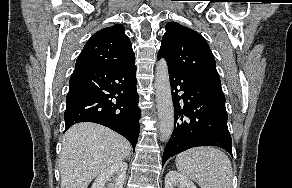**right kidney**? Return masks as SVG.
<instances>
[{"label": "right kidney", "instance_id": "1", "mask_svg": "<svg viewBox=\"0 0 292 188\" xmlns=\"http://www.w3.org/2000/svg\"><path fill=\"white\" fill-rule=\"evenodd\" d=\"M127 163L120 161L112 164L103 172H101L91 188H123L126 177Z\"/></svg>", "mask_w": 292, "mask_h": 188}]
</instances>
